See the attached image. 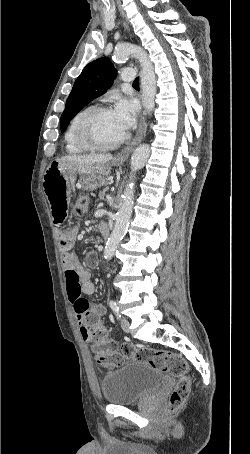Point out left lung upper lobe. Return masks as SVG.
Listing matches in <instances>:
<instances>
[{"label": "left lung upper lobe", "mask_w": 250, "mask_h": 454, "mask_svg": "<svg viewBox=\"0 0 250 454\" xmlns=\"http://www.w3.org/2000/svg\"><path fill=\"white\" fill-rule=\"evenodd\" d=\"M116 76V69L109 58L103 57L90 62L74 83L61 116V132L70 120L90 101L106 92Z\"/></svg>", "instance_id": "obj_1"}]
</instances>
